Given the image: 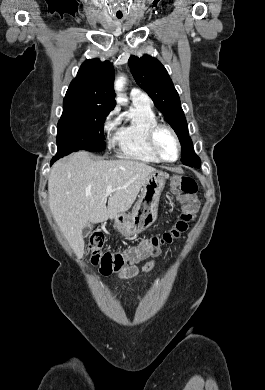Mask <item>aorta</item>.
<instances>
[{
	"instance_id": "762f6f07",
	"label": "aorta",
	"mask_w": 265,
	"mask_h": 390,
	"mask_svg": "<svg viewBox=\"0 0 265 390\" xmlns=\"http://www.w3.org/2000/svg\"><path fill=\"white\" fill-rule=\"evenodd\" d=\"M125 77L121 76L118 77L117 80L115 81V91L117 93V102L123 103L125 100L121 97L120 92L123 90L124 85H125Z\"/></svg>"
}]
</instances>
